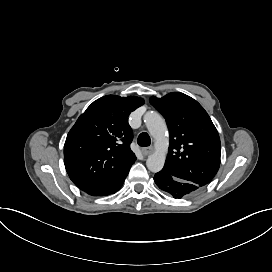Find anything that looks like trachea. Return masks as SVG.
Masks as SVG:
<instances>
[{"label": "trachea", "instance_id": "3493384b", "mask_svg": "<svg viewBox=\"0 0 272 272\" xmlns=\"http://www.w3.org/2000/svg\"><path fill=\"white\" fill-rule=\"evenodd\" d=\"M137 142L140 146L147 147L150 145V142H151L150 136L147 133L143 132L138 136Z\"/></svg>", "mask_w": 272, "mask_h": 272}]
</instances>
